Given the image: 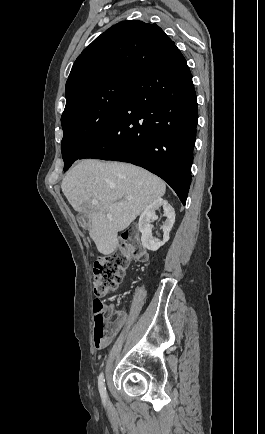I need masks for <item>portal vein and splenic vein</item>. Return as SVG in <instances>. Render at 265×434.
<instances>
[{
    "label": "portal vein and splenic vein",
    "mask_w": 265,
    "mask_h": 434,
    "mask_svg": "<svg viewBox=\"0 0 265 434\" xmlns=\"http://www.w3.org/2000/svg\"><path fill=\"white\" fill-rule=\"evenodd\" d=\"M125 200H132V198H125ZM92 204H94V206H97L98 200H92Z\"/></svg>",
    "instance_id": "obj_1"
}]
</instances>
